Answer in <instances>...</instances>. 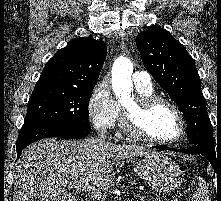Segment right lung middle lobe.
I'll use <instances>...</instances> for the list:
<instances>
[{
    "instance_id": "right-lung-middle-lobe-1",
    "label": "right lung middle lobe",
    "mask_w": 221,
    "mask_h": 201,
    "mask_svg": "<svg viewBox=\"0 0 221 201\" xmlns=\"http://www.w3.org/2000/svg\"><path fill=\"white\" fill-rule=\"evenodd\" d=\"M92 90L34 89L23 127L63 124L90 131L88 106Z\"/></svg>"
}]
</instances>
